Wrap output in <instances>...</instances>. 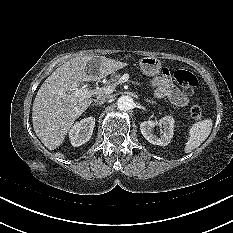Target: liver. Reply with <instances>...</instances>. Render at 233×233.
Masks as SVG:
<instances>
[{"label": "liver", "instance_id": "liver-1", "mask_svg": "<svg viewBox=\"0 0 233 233\" xmlns=\"http://www.w3.org/2000/svg\"><path fill=\"white\" fill-rule=\"evenodd\" d=\"M99 61L87 74V65ZM127 63L105 56H77L59 66L41 85L32 107L33 128L49 150L59 147L73 123L92 103V98L73 94L81 82L97 81L124 68Z\"/></svg>", "mask_w": 233, "mask_h": 233}]
</instances>
